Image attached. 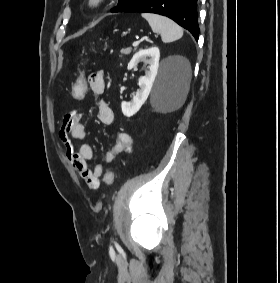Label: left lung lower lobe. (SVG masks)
Instances as JSON below:
<instances>
[{"label": "left lung lower lobe", "instance_id": "0a47b994", "mask_svg": "<svg viewBox=\"0 0 280 283\" xmlns=\"http://www.w3.org/2000/svg\"><path fill=\"white\" fill-rule=\"evenodd\" d=\"M123 12H148L167 16L198 40L197 0H137Z\"/></svg>", "mask_w": 280, "mask_h": 283}]
</instances>
